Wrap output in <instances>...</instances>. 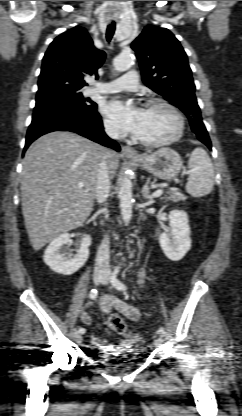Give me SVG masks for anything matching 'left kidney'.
Wrapping results in <instances>:
<instances>
[{"label":"left kidney","instance_id":"obj_1","mask_svg":"<svg viewBox=\"0 0 242 416\" xmlns=\"http://www.w3.org/2000/svg\"><path fill=\"white\" fill-rule=\"evenodd\" d=\"M169 222L170 230L160 235L159 243L167 258L179 261L191 248L188 215L182 210H172Z\"/></svg>","mask_w":242,"mask_h":416}]
</instances>
